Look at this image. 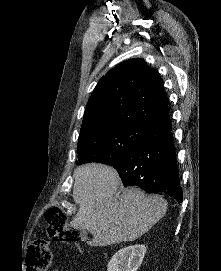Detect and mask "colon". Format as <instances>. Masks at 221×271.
<instances>
[{
  "instance_id": "1",
  "label": "colon",
  "mask_w": 221,
  "mask_h": 271,
  "mask_svg": "<svg viewBox=\"0 0 221 271\" xmlns=\"http://www.w3.org/2000/svg\"><path fill=\"white\" fill-rule=\"evenodd\" d=\"M45 221L48 224L47 232L55 242H77L80 234L77 230L67 226V217L64 210L52 206L45 211ZM54 259L49 242L43 237H35L25 256L27 271H48Z\"/></svg>"
}]
</instances>
